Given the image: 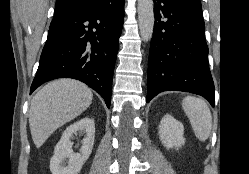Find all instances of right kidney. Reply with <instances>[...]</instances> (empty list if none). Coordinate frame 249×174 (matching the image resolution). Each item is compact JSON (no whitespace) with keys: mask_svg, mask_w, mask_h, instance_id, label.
I'll return each instance as SVG.
<instances>
[{"mask_svg":"<svg viewBox=\"0 0 249 174\" xmlns=\"http://www.w3.org/2000/svg\"><path fill=\"white\" fill-rule=\"evenodd\" d=\"M77 132L85 134L80 153H74L73 142L70 140ZM94 138L95 124L92 118L85 117L67 127L54 148V155L50 160L51 173L78 174L92 152Z\"/></svg>","mask_w":249,"mask_h":174,"instance_id":"right-kidney-1","label":"right kidney"}]
</instances>
